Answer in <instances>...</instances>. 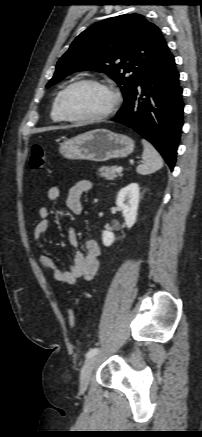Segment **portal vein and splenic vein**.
<instances>
[{
    "label": "portal vein and splenic vein",
    "instance_id": "1",
    "mask_svg": "<svg viewBox=\"0 0 202 437\" xmlns=\"http://www.w3.org/2000/svg\"><path fill=\"white\" fill-rule=\"evenodd\" d=\"M122 170H123V168H122V167H118V168L116 169V172H117V173H121V172H122Z\"/></svg>",
    "mask_w": 202,
    "mask_h": 437
}]
</instances>
